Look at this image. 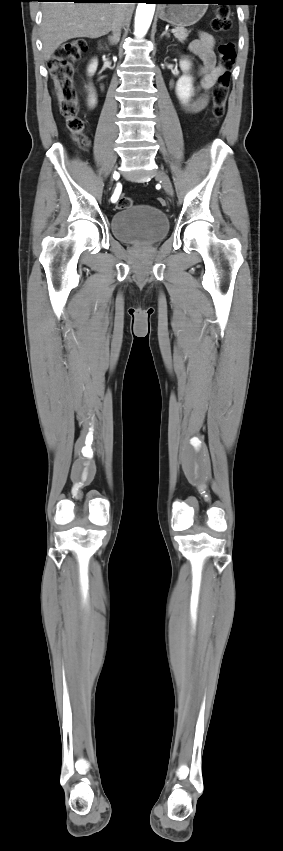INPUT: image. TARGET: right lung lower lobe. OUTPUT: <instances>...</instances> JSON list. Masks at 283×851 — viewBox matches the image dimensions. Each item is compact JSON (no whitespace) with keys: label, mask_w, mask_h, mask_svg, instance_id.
<instances>
[{"label":"right lung lower lobe","mask_w":283,"mask_h":851,"mask_svg":"<svg viewBox=\"0 0 283 851\" xmlns=\"http://www.w3.org/2000/svg\"><path fill=\"white\" fill-rule=\"evenodd\" d=\"M45 1V0H44ZM47 1H73V2H110V3H118V2H137L139 0H47Z\"/></svg>","instance_id":"1"}]
</instances>
